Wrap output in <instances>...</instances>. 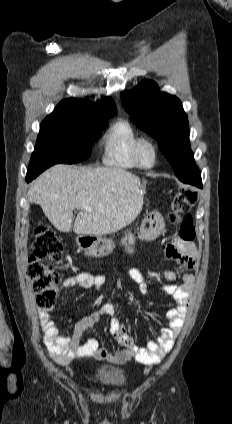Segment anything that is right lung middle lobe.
<instances>
[{
	"mask_svg": "<svg viewBox=\"0 0 232 424\" xmlns=\"http://www.w3.org/2000/svg\"><path fill=\"white\" fill-rule=\"evenodd\" d=\"M112 116L102 120L65 113L47 116L40 125L27 175H38L56 163L72 164L88 158L93 142Z\"/></svg>",
	"mask_w": 232,
	"mask_h": 424,
	"instance_id": "right-lung-middle-lobe-1",
	"label": "right lung middle lobe"
}]
</instances>
